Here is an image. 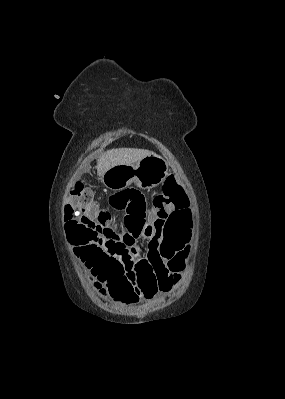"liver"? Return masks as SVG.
<instances>
[{
	"label": "liver",
	"instance_id": "liver-1",
	"mask_svg": "<svg viewBox=\"0 0 285 399\" xmlns=\"http://www.w3.org/2000/svg\"><path fill=\"white\" fill-rule=\"evenodd\" d=\"M153 154L149 150L134 148L111 149L100 155L97 160V174L102 176L108 169L116 165H133L144 157Z\"/></svg>",
	"mask_w": 285,
	"mask_h": 399
}]
</instances>
